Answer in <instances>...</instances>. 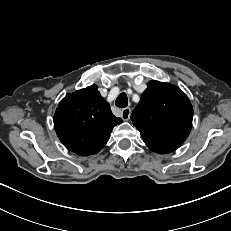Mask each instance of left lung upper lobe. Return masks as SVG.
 I'll return each mask as SVG.
<instances>
[{"instance_id": "5c2ea615", "label": "left lung upper lobe", "mask_w": 231, "mask_h": 231, "mask_svg": "<svg viewBox=\"0 0 231 231\" xmlns=\"http://www.w3.org/2000/svg\"><path fill=\"white\" fill-rule=\"evenodd\" d=\"M131 119L145 144L154 152L164 154L176 150L188 137L193 108L178 87L152 80Z\"/></svg>"}]
</instances>
